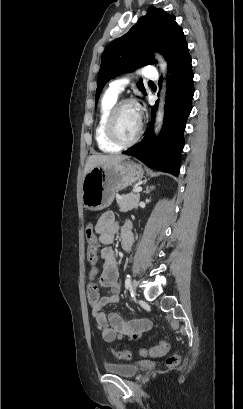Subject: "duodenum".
I'll return each mask as SVG.
<instances>
[{
    "mask_svg": "<svg viewBox=\"0 0 243 409\" xmlns=\"http://www.w3.org/2000/svg\"><path fill=\"white\" fill-rule=\"evenodd\" d=\"M127 238H128V235H127V234H125V235H124V240H125V239H127Z\"/></svg>",
    "mask_w": 243,
    "mask_h": 409,
    "instance_id": "1",
    "label": "duodenum"
}]
</instances>
